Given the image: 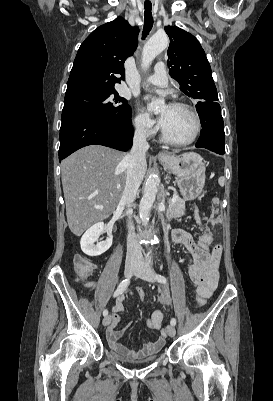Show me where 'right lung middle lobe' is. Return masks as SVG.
Wrapping results in <instances>:
<instances>
[{
  "instance_id": "dd1d6c3e",
  "label": "right lung middle lobe",
  "mask_w": 273,
  "mask_h": 401,
  "mask_svg": "<svg viewBox=\"0 0 273 401\" xmlns=\"http://www.w3.org/2000/svg\"><path fill=\"white\" fill-rule=\"evenodd\" d=\"M89 116L111 120L119 124H131V109L125 98L115 90L86 91L66 95L62 121L74 117Z\"/></svg>"
}]
</instances>
